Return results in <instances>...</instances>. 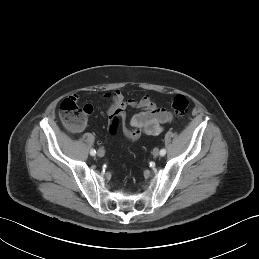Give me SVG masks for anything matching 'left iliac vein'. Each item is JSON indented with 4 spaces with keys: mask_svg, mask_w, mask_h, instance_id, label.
Instances as JSON below:
<instances>
[{
    "mask_svg": "<svg viewBox=\"0 0 259 259\" xmlns=\"http://www.w3.org/2000/svg\"><path fill=\"white\" fill-rule=\"evenodd\" d=\"M152 154L154 157H158L160 152H159V149L158 148H155L153 151H152Z\"/></svg>",
    "mask_w": 259,
    "mask_h": 259,
    "instance_id": "left-iliac-vein-1",
    "label": "left iliac vein"
}]
</instances>
